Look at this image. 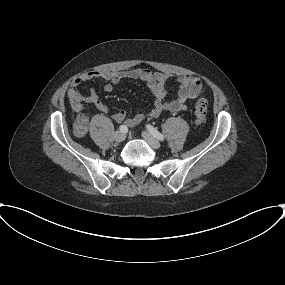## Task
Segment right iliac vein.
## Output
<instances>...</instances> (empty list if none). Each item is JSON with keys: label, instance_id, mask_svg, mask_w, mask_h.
<instances>
[{"label": "right iliac vein", "instance_id": "63e3f726", "mask_svg": "<svg viewBox=\"0 0 285 285\" xmlns=\"http://www.w3.org/2000/svg\"><path fill=\"white\" fill-rule=\"evenodd\" d=\"M113 137H114V140H115L116 142H122V141L125 140L126 135H125L124 132L116 131V132L114 133Z\"/></svg>", "mask_w": 285, "mask_h": 285}]
</instances>
